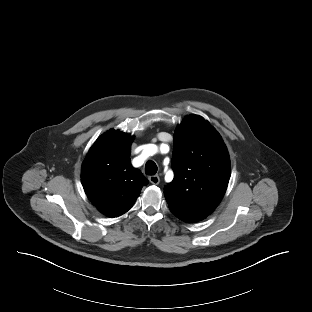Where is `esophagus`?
Wrapping results in <instances>:
<instances>
[{
  "mask_svg": "<svg viewBox=\"0 0 312 312\" xmlns=\"http://www.w3.org/2000/svg\"><path fill=\"white\" fill-rule=\"evenodd\" d=\"M149 181L154 184V185H157L159 184L160 182V178L158 175H152V176H149Z\"/></svg>",
  "mask_w": 312,
  "mask_h": 312,
  "instance_id": "obj_1",
  "label": "esophagus"
}]
</instances>
